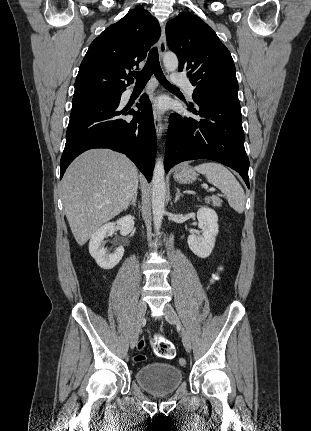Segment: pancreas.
Wrapping results in <instances>:
<instances>
[{
  "mask_svg": "<svg viewBox=\"0 0 311 431\" xmlns=\"http://www.w3.org/2000/svg\"><path fill=\"white\" fill-rule=\"evenodd\" d=\"M205 202L206 204H211V206H217V208H221L222 206V200H220L218 196H207V198H205Z\"/></svg>",
  "mask_w": 311,
  "mask_h": 431,
  "instance_id": "cf45deb5",
  "label": "pancreas"
}]
</instances>
